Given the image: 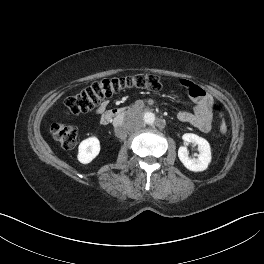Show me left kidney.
<instances>
[{
	"instance_id": "5707ae66",
	"label": "left kidney",
	"mask_w": 264,
	"mask_h": 264,
	"mask_svg": "<svg viewBox=\"0 0 264 264\" xmlns=\"http://www.w3.org/2000/svg\"><path fill=\"white\" fill-rule=\"evenodd\" d=\"M182 139L186 143L196 144L199 150L198 158L191 159L187 148L185 146H181L178 149V157L183 165L190 171L198 172L206 170L212 159L208 141L193 133H185L182 136Z\"/></svg>"
}]
</instances>
